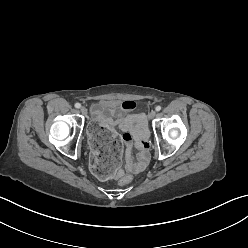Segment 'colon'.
<instances>
[{
    "instance_id": "5ec220e1",
    "label": "colon",
    "mask_w": 248,
    "mask_h": 248,
    "mask_svg": "<svg viewBox=\"0 0 248 248\" xmlns=\"http://www.w3.org/2000/svg\"><path fill=\"white\" fill-rule=\"evenodd\" d=\"M85 131L93 146L90 153V169L99 178L107 179L113 171L123 165L121 139L117 133L108 131L107 125L102 121L86 124ZM131 182L130 175L121 176L122 186L129 185Z\"/></svg>"
}]
</instances>
